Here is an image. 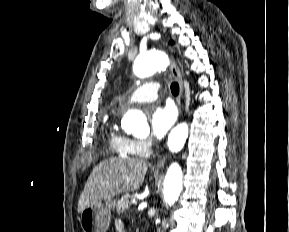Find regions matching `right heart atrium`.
Segmentation results:
<instances>
[{"label": "right heart atrium", "mask_w": 289, "mask_h": 232, "mask_svg": "<svg viewBox=\"0 0 289 232\" xmlns=\"http://www.w3.org/2000/svg\"><path fill=\"white\" fill-rule=\"evenodd\" d=\"M133 151L138 156H146L151 152L153 143L150 139H136L132 141Z\"/></svg>", "instance_id": "1"}]
</instances>
